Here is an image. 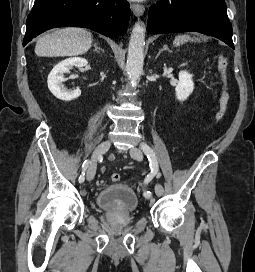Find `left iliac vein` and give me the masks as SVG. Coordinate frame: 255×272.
<instances>
[{
    "instance_id": "left-iliac-vein-1",
    "label": "left iliac vein",
    "mask_w": 255,
    "mask_h": 272,
    "mask_svg": "<svg viewBox=\"0 0 255 272\" xmlns=\"http://www.w3.org/2000/svg\"><path fill=\"white\" fill-rule=\"evenodd\" d=\"M130 155L133 159H135L137 161H141L143 158L142 151L137 147L130 149ZM163 191H164V189L161 184L155 185V193L157 196H161L163 194Z\"/></svg>"
}]
</instances>
